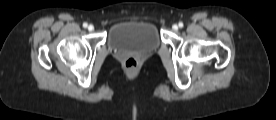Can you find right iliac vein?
<instances>
[{
  "label": "right iliac vein",
  "instance_id": "63e3f726",
  "mask_svg": "<svg viewBox=\"0 0 276 120\" xmlns=\"http://www.w3.org/2000/svg\"><path fill=\"white\" fill-rule=\"evenodd\" d=\"M88 30H89V31H93V30H94V26H93V25H89V26H88Z\"/></svg>",
  "mask_w": 276,
  "mask_h": 120
}]
</instances>
